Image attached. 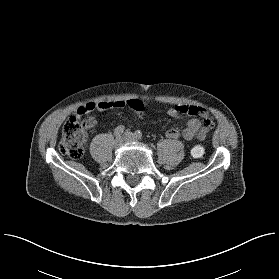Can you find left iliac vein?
Returning <instances> with one entry per match:
<instances>
[{"mask_svg":"<svg viewBox=\"0 0 279 279\" xmlns=\"http://www.w3.org/2000/svg\"><path fill=\"white\" fill-rule=\"evenodd\" d=\"M124 140L128 141V142H138L137 137L135 136V134L131 133V132H125L124 134Z\"/></svg>","mask_w":279,"mask_h":279,"instance_id":"4c4485c4","label":"left iliac vein"}]
</instances>
